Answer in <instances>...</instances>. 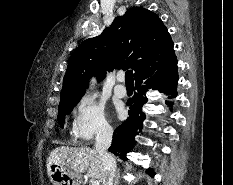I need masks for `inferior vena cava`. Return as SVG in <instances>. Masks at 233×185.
Instances as JSON below:
<instances>
[{
    "mask_svg": "<svg viewBox=\"0 0 233 185\" xmlns=\"http://www.w3.org/2000/svg\"><path fill=\"white\" fill-rule=\"evenodd\" d=\"M113 129L110 126H103L96 135L95 150L99 153L102 160L103 170L102 185H113V178L116 172V162L114 157L108 153L111 145Z\"/></svg>",
    "mask_w": 233,
    "mask_h": 185,
    "instance_id": "obj_1",
    "label": "inferior vena cava"
}]
</instances>
